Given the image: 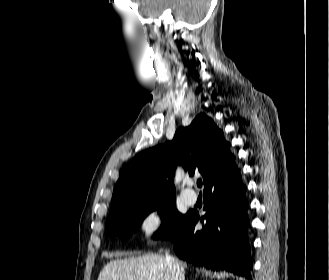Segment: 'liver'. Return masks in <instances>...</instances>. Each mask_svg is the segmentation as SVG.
Returning <instances> with one entry per match:
<instances>
[{"label":"liver","mask_w":329,"mask_h":280,"mask_svg":"<svg viewBox=\"0 0 329 280\" xmlns=\"http://www.w3.org/2000/svg\"><path fill=\"white\" fill-rule=\"evenodd\" d=\"M183 273L187 265L179 261ZM97 280H172L171 270L163 255L112 260L101 270Z\"/></svg>","instance_id":"liver-1"}]
</instances>
